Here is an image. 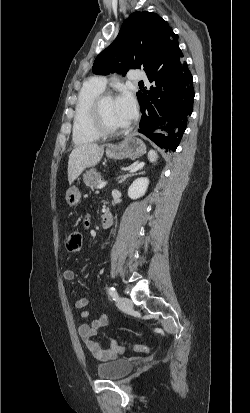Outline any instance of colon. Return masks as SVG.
I'll return each instance as SVG.
<instances>
[{
	"label": "colon",
	"mask_w": 250,
	"mask_h": 413,
	"mask_svg": "<svg viewBox=\"0 0 250 413\" xmlns=\"http://www.w3.org/2000/svg\"><path fill=\"white\" fill-rule=\"evenodd\" d=\"M65 246L69 252L79 251L82 247L81 232L77 229H71L67 234ZM129 347L139 353H148L150 351V347L147 345H129Z\"/></svg>",
	"instance_id": "obj_1"
}]
</instances>
